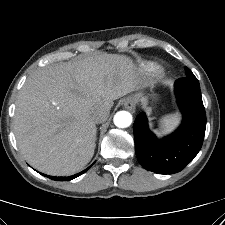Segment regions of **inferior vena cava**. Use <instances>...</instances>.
I'll use <instances>...</instances> for the list:
<instances>
[{"label":"inferior vena cava","mask_w":225,"mask_h":225,"mask_svg":"<svg viewBox=\"0 0 225 225\" xmlns=\"http://www.w3.org/2000/svg\"><path fill=\"white\" fill-rule=\"evenodd\" d=\"M110 114V108L109 107H104L101 108L99 110H96L93 114H92V120L94 121V123L99 124L102 122H105Z\"/></svg>","instance_id":"obj_1"}]
</instances>
